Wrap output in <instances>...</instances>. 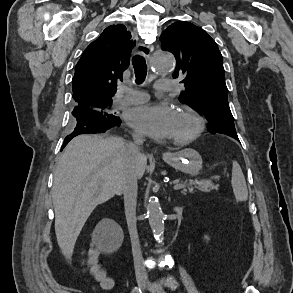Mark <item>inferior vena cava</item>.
Returning a JSON list of instances; mask_svg holds the SVG:
<instances>
[{
    "mask_svg": "<svg viewBox=\"0 0 293 293\" xmlns=\"http://www.w3.org/2000/svg\"><path fill=\"white\" fill-rule=\"evenodd\" d=\"M133 140L134 143L127 145L129 158L121 174V189L124 196L125 214L131 238L135 270L139 273L144 272L145 269L136 227L137 176L134 171L133 160L141 155L139 146L143 143V136L134 134Z\"/></svg>",
    "mask_w": 293,
    "mask_h": 293,
    "instance_id": "602c4592",
    "label": "inferior vena cava"
}]
</instances>
